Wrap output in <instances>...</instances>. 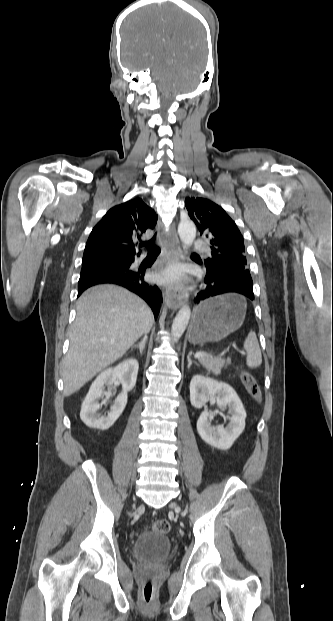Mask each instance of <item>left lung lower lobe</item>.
Returning a JSON list of instances; mask_svg holds the SVG:
<instances>
[{"mask_svg": "<svg viewBox=\"0 0 333 621\" xmlns=\"http://www.w3.org/2000/svg\"><path fill=\"white\" fill-rule=\"evenodd\" d=\"M202 287L195 302L198 304L210 297L228 292L240 293L251 300L254 299L251 275L246 272L223 271L222 269H206Z\"/></svg>", "mask_w": 333, "mask_h": 621, "instance_id": "0a47b994", "label": "left lung lower lobe"}]
</instances>
